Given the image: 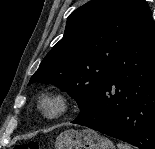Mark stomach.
<instances>
[{
    "label": "stomach",
    "instance_id": "0dacf381",
    "mask_svg": "<svg viewBox=\"0 0 155 149\" xmlns=\"http://www.w3.org/2000/svg\"><path fill=\"white\" fill-rule=\"evenodd\" d=\"M55 149H116L108 138L91 129L65 130L57 137Z\"/></svg>",
    "mask_w": 155,
    "mask_h": 149
}]
</instances>
